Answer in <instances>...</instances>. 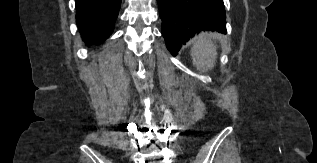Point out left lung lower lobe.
<instances>
[{
	"mask_svg": "<svg viewBox=\"0 0 317 163\" xmlns=\"http://www.w3.org/2000/svg\"><path fill=\"white\" fill-rule=\"evenodd\" d=\"M162 35L168 50L177 55L189 38L201 31L226 34L223 0H157Z\"/></svg>",
	"mask_w": 317,
	"mask_h": 163,
	"instance_id": "obj_1",
	"label": "left lung lower lobe"
}]
</instances>
